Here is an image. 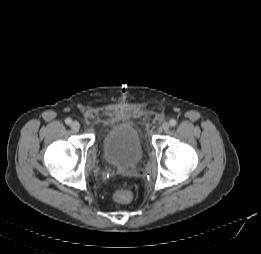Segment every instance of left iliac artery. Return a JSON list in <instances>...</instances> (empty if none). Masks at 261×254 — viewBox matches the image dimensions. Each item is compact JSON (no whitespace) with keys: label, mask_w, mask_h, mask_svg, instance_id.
<instances>
[{"label":"left iliac artery","mask_w":261,"mask_h":254,"mask_svg":"<svg viewBox=\"0 0 261 254\" xmlns=\"http://www.w3.org/2000/svg\"><path fill=\"white\" fill-rule=\"evenodd\" d=\"M169 123H170V125L173 126V127L177 125V121H176L175 119H171V120L169 121Z\"/></svg>","instance_id":"obj_1"}]
</instances>
